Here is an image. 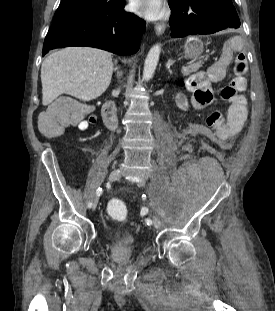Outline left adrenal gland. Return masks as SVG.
I'll list each match as a JSON object with an SVG mask.
<instances>
[{"label": "left adrenal gland", "mask_w": 275, "mask_h": 311, "mask_svg": "<svg viewBox=\"0 0 275 311\" xmlns=\"http://www.w3.org/2000/svg\"><path fill=\"white\" fill-rule=\"evenodd\" d=\"M174 64V61L172 59H169L167 64H166V67L169 69L171 65Z\"/></svg>", "instance_id": "1"}]
</instances>
